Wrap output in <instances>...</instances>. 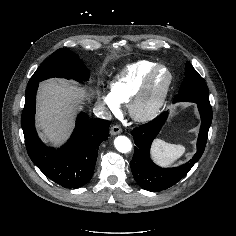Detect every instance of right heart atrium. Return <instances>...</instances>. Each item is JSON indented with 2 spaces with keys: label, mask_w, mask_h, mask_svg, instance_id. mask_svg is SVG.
Returning <instances> with one entry per match:
<instances>
[{
  "label": "right heart atrium",
  "mask_w": 236,
  "mask_h": 236,
  "mask_svg": "<svg viewBox=\"0 0 236 236\" xmlns=\"http://www.w3.org/2000/svg\"><path fill=\"white\" fill-rule=\"evenodd\" d=\"M101 101L103 104L106 106V108L112 112L116 113L119 110V104L118 102L113 98L111 93L109 92H104L101 94Z\"/></svg>",
  "instance_id": "d8ad5b80"
}]
</instances>
